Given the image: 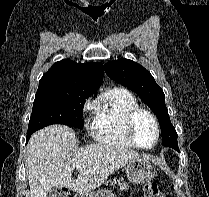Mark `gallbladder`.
<instances>
[{
    "instance_id": "bac80fb5",
    "label": "gallbladder",
    "mask_w": 209,
    "mask_h": 197,
    "mask_svg": "<svg viewBox=\"0 0 209 197\" xmlns=\"http://www.w3.org/2000/svg\"><path fill=\"white\" fill-rule=\"evenodd\" d=\"M58 194H59L58 189H57V188H52V189L48 192V194H47L46 197H58Z\"/></svg>"
}]
</instances>
